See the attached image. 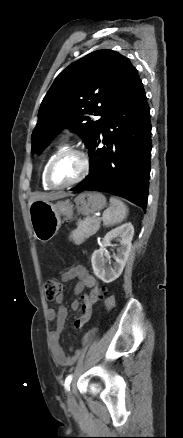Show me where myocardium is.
Returning a JSON list of instances; mask_svg holds the SVG:
<instances>
[{
    "instance_id": "1",
    "label": "myocardium",
    "mask_w": 183,
    "mask_h": 438,
    "mask_svg": "<svg viewBox=\"0 0 183 438\" xmlns=\"http://www.w3.org/2000/svg\"><path fill=\"white\" fill-rule=\"evenodd\" d=\"M67 155H76L80 158L82 163V168L79 175L69 183L66 184H55L51 180V171L54 164L64 156ZM91 170V160L87 152L78 148H65L64 150L58 152L48 163L46 171H45V180L46 183L50 186L51 189H64L71 186H74L81 181H83L89 174Z\"/></svg>"
}]
</instances>
